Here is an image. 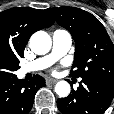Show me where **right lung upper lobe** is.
Returning a JSON list of instances; mask_svg holds the SVG:
<instances>
[{
    "label": "right lung upper lobe",
    "instance_id": "1",
    "mask_svg": "<svg viewBox=\"0 0 114 114\" xmlns=\"http://www.w3.org/2000/svg\"><path fill=\"white\" fill-rule=\"evenodd\" d=\"M54 23L45 10L11 8L0 13V59L10 61L23 57L31 35Z\"/></svg>",
    "mask_w": 114,
    "mask_h": 114
}]
</instances>
